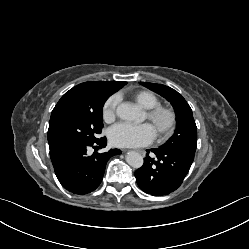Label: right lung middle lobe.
Instances as JSON below:
<instances>
[{
    "label": "right lung middle lobe",
    "mask_w": 249,
    "mask_h": 249,
    "mask_svg": "<svg viewBox=\"0 0 249 249\" xmlns=\"http://www.w3.org/2000/svg\"><path fill=\"white\" fill-rule=\"evenodd\" d=\"M109 96L106 92L93 94L86 107L72 110L58 119L53 138L60 150L94 142L99 138L103 128L102 108Z\"/></svg>",
    "instance_id": "right-lung-middle-lobe-1"
}]
</instances>
